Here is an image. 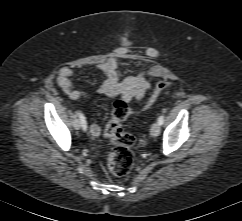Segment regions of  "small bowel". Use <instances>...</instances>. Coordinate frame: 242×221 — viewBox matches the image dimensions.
Masks as SVG:
<instances>
[{
	"instance_id": "c3829d8e",
	"label": "small bowel",
	"mask_w": 242,
	"mask_h": 221,
	"mask_svg": "<svg viewBox=\"0 0 242 221\" xmlns=\"http://www.w3.org/2000/svg\"><path fill=\"white\" fill-rule=\"evenodd\" d=\"M119 59L138 61L137 58L129 56L128 52L122 49L114 57H110L106 62L100 64L97 70L104 74L105 79L98 89V93L108 98L120 97L127 102L141 100L150 90L149 80L144 71L139 72L136 76L121 78L118 73ZM74 76L75 72L71 68L62 67L57 77L59 87L72 100L88 98V93L75 88L72 81ZM100 131L99 125L95 123L90 125V132L93 136H98Z\"/></svg>"
}]
</instances>
